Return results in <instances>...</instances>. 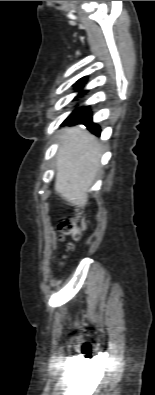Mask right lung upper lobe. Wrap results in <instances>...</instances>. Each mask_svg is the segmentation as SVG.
<instances>
[{
	"instance_id": "1",
	"label": "right lung upper lobe",
	"mask_w": 155,
	"mask_h": 395,
	"mask_svg": "<svg viewBox=\"0 0 155 395\" xmlns=\"http://www.w3.org/2000/svg\"><path fill=\"white\" fill-rule=\"evenodd\" d=\"M85 79H86V77H84V78L80 79L78 82H84V81H85Z\"/></svg>"
}]
</instances>
